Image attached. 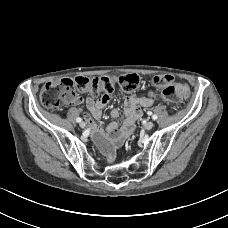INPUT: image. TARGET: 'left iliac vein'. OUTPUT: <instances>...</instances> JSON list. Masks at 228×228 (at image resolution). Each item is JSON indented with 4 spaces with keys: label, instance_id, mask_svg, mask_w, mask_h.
Segmentation results:
<instances>
[{
    "label": "left iliac vein",
    "instance_id": "4c4485c4",
    "mask_svg": "<svg viewBox=\"0 0 228 228\" xmlns=\"http://www.w3.org/2000/svg\"><path fill=\"white\" fill-rule=\"evenodd\" d=\"M145 129L147 130H150L154 127V123L149 121V122H146L145 125H144Z\"/></svg>",
    "mask_w": 228,
    "mask_h": 228
}]
</instances>
